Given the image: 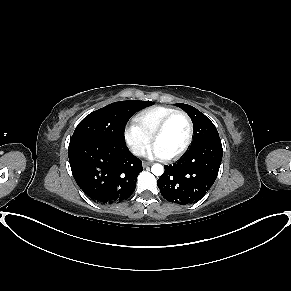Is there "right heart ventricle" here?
I'll return each instance as SVG.
<instances>
[{
	"label": "right heart ventricle",
	"mask_w": 291,
	"mask_h": 291,
	"mask_svg": "<svg viewBox=\"0 0 291 291\" xmlns=\"http://www.w3.org/2000/svg\"><path fill=\"white\" fill-rule=\"evenodd\" d=\"M176 109L168 106H155L138 113L134 120L150 137L162 120Z\"/></svg>",
	"instance_id": "e07e8e85"
}]
</instances>
